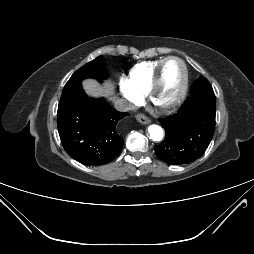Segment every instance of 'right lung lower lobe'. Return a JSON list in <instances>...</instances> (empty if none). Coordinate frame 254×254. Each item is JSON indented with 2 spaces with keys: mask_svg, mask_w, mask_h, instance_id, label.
<instances>
[{
  "mask_svg": "<svg viewBox=\"0 0 254 254\" xmlns=\"http://www.w3.org/2000/svg\"><path fill=\"white\" fill-rule=\"evenodd\" d=\"M128 113L119 112L103 98L88 97L81 82L65 85L58 105L57 123L66 152L84 165H103L122 150L118 122Z\"/></svg>",
  "mask_w": 254,
  "mask_h": 254,
  "instance_id": "1",
  "label": "right lung lower lobe"
}]
</instances>
